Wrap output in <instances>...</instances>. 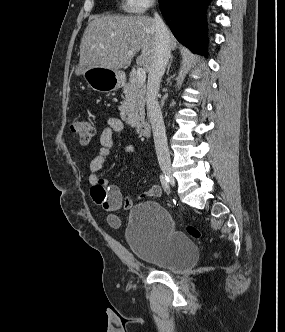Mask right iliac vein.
<instances>
[{
    "label": "right iliac vein",
    "instance_id": "63e3f726",
    "mask_svg": "<svg viewBox=\"0 0 285 332\" xmlns=\"http://www.w3.org/2000/svg\"><path fill=\"white\" fill-rule=\"evenodd\" d=\"M161 169H162L163 173L166 174L168 176V178L170 179V184L172 186H174L175 185V180L172 176V169H171L170 165L162 164Z\"/></svg>",
    "mask_w": 285,
    "mask_h": 332
}]
</instances>
